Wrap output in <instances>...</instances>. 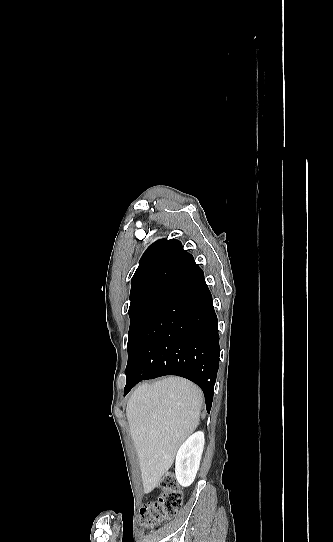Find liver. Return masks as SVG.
Wrapping results in <instances>:
<instances>
[{
  "label": "liver",
  "mask_w": 333,
  "mask_h": 542,
  "mask_svg": "<svg viewBox=\"0 0 333 542\" xmlns=\"http://www.w3.org/2000/svg\"><path fill=\"white\" fill-rule=\"evenodd\" d=\"M202 400L198 386L177 376H168L155 384H141L130 396L126 416L144 494L160 484L178 448L196 430Z\"/></svg>",
  "instance_id": "liver-1"
}]
</instances>
